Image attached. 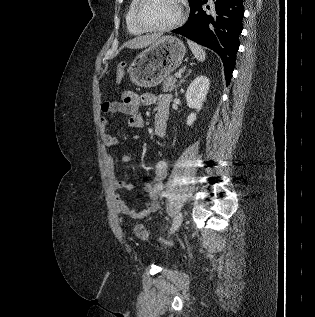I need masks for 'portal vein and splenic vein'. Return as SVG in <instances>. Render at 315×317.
<instances>
[{"label": "portal vein and splenic vein", "instance_id": "obj_1", "mask_svg": "<svg viewBox=\"0 0 315 317\" xmlns=\"http://www.w3.org/2000/svg\"><path fill=\"white\" fill-rule=\"evenodd\" d=\"M181 74H182V71H179V72H177V73L175 74V77L180 78V77H181Z\"/></svg>", "mask_w": 315, "mask_h": 317}]
</instances>
